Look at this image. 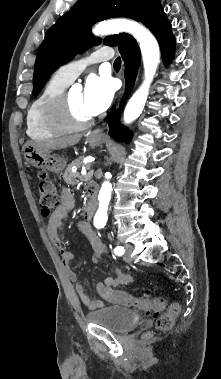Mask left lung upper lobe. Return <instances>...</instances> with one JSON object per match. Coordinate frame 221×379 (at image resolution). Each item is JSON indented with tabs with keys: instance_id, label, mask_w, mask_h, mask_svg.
Segmentation results:
<instances>
[{
	"instance_id": "1",
	"label": "left lung upper lobe",
	"mask_w": 221,
	"mask_h": 379,
	"mask_svg": "<svg viewBox=\"0 0 221 379\" xmlns=\"http://www.w3.org/2000/svg\"><path fill=\"white\" fill-rule=\"evenodd\" d=\"M159 0H78L45 34L35 62L33 91L37 96L51 74L101 39L93 38L91 26L112 17H128L143 22ZM128 34L108 36L104 44L118 46Z\"/></svg>"
}]
</instances>
